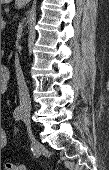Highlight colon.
I'll list each match as a JSON object with an SVG mask.
<instances>
[{
    "label": "colon",
    "instance_id": "colon-1",
    "mask_svg": "<svg viewBox=\"0 0 109 170\" xmlns=\"http://www.w3.org/2000/svg\"><path fill=\"white\" fill-rule=\"evenodd\" d=\"M4 170H31V169L27 168L24 165H15V164L7 163L4 167Z\"/></svg>",
    "mask_w": 109,
    "mask_h": 170
}]
</instances>
